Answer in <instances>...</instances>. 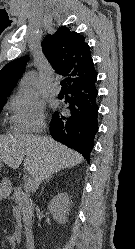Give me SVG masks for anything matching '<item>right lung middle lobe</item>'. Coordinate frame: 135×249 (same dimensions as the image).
Returning <instances> with one entry per match:
<instances>
[{
	"instance_id": "right-lung-middle-lobe-1",
	"label": "right lung middle lobe",
	"mask_w": 135,
	"mask_h": 249,
	"mask_svg": "<svg viewBox=\"0 0 135 249\" xmlns=\"http://www.w3.org/2000/svg\"><path fill=\"white\" fill-rule=\"evenodd\" d=\"M5 103H6V100L0 101V111L2 110V107L4 106Z\"/></svg>"
}]
</instances>
